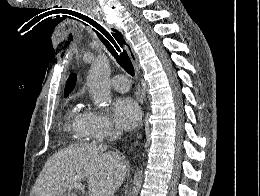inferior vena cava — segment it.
Here are the masks:
<instances>
[{
	"label": "inferior vena cava",
	"mask_w": 260,
	"mask_h": 196,
	"mask_svg": "<svg viewBox=\"0 0 260 196\" xmlns=\"http://www.w3.org/2000/svg\"><path fill=\"white\" fill-rule=\"evenodd\" d=\"M121 132H116V134H113V136H110L108 142H113V140H116V138H119ZM101 150H106L107 146H105V144H103V146H100Z\"/></svg>",
	"instance_id": "1"
}]
</instances>
